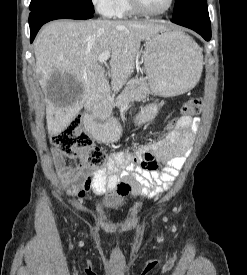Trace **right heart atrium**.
<instances>
[{"mask_svg":"<svg viewBox=\"0 0 247 275\" xmlns=\"http://www.w3.org/2000/svg\"><path fill=\"white\" fill-rule=\"evenodd\" d=\"M91 2L101 15L110 17L113 13L116 0H91Z\"/></svg>","mask_w":247,"mask_h":275,"instance_id":"d8ad5b80","label":"right heart atrium"}]
</instances>
